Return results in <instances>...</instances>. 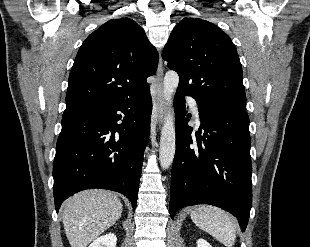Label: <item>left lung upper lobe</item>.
Listing matches in <instances>:
<instances>
[{"label":"left lung upper lobe","mask_w":310,"mask_h":247,"mask_svg":"<svg viewBox=\"0 0 310 247\" xmlns=\"http://www.w3.org/2000/svg\"><path fill=\"white\" fill-rule=\"evenodd\" d=\"M162 58L178 73L177 91L200 104L245 111L242 67L229 36L211 22L184 18L163 49Z\"/></svg>","instance_id":"1"}]
</instances>
